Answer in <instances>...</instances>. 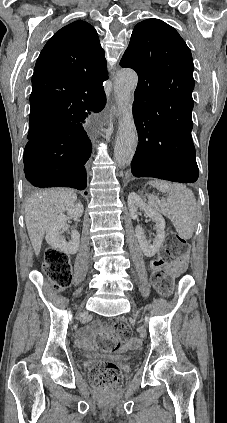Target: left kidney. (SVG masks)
Masks as SVG:
<instances>
[{"mask_svg":"<svg viewBox=\"0 0 227 423\" xmlns=\"http://www.w3.org/2000/svg\"><path fill=\"white\" fill-rule=\"evenodd\" d=\"M128 208L130 211L131 217L133 219H136L138 217V211L137 210H144L146 215L148 217H151L152 221H154L155 229H156V235L154 239H146L144 229H142L141 225H136V237L139 241V245L146 257H152V255H155L157 249H159L161 243L164 241L165 237V219L159 211L152 210V208H149L143 200H141L140 196L138 194H135V192H131L128 196ZM152 241V243H151Z\"/></svg>","mask_w":227,"mask_h":423,"instance_id":"left-kidney-1","label":"left kidney"}]
</instances>
